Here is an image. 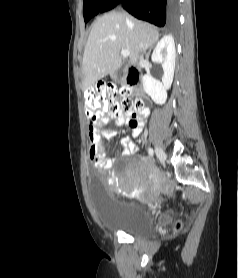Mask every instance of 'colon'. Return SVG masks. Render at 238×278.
<instances>
[{
  "instance_id": "obj_1",
  "label": "colon",
  "mask_w": 238,
  "mask_h": 278,
  "mask_svg": "<svg viewBox=\"0 0 238 278\" xmlns=\"http://www.w3.org/2000/svg\"><path fill=\"white\" fill-rule=\"evenodd\" d=\"M118 95L121 99L118 100ZM143 103L140 100L131 98V90L122 88L118 90L112 84L100 85L86 91L84 96V110L92 126L99 115L104 112L115 113L119 110L125 112L143 111ZM181 228V224L176 225V230Z\"/></svg>"
}]
</instances>
